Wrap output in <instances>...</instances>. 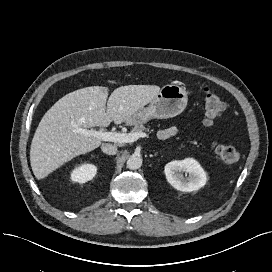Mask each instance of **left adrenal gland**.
Instances as JSON below:
<instances>
[{
    "mask_svg": "<svg viewBox=\"0 0 272 272\" xmlns=\"http://www.w3.org/2000/svg\"><path fill=\"white\" fill-rule=\"evenodd\" d=\"M158 153L156 152L154 155L156 156Z\"/></svg>",
    "mask_w": 272,
    "mask_h": 272,
    "instance_id": "1",
    "label": "left adrenal gland"
}]
</instances>
